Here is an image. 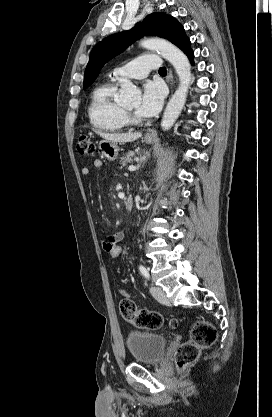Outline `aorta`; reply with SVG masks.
Segmentation results:
<instances>
[{
  "label": "aorta",
  "instance_id": "1",
  "mask_svg": "<svg viewBox=\"0 0 272 417\" xmlns=\"http://www.w3.org/2000/svg\"><path fill=\"white\" fill-rule=\"evenodd\" d=\"M140 45L146 49L155 50L167 59L175 68L180 84L168 102L165 109L161 127L164 131L169 130L180 115L188 93L191 82V67L187 56L172 43L159 39H143ZM120 101L124 104H139L141 101L140 90L129 80L121 84Z\"/></svg>",
  "mask_w": 272,
  "mask_h": 417
}]
</instances>
